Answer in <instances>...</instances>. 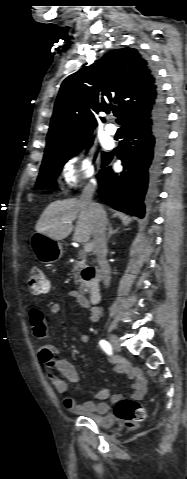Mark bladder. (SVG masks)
<instances>
[{
  "mask_svg": "<svg viewBox=\"0 0 187 479\" xmlns=\"http://www.w3.org/2000/svg\"><path fill=\"white\" fill-rule=\"evenodd\" d=\"M83 417L89 418L94 421L97 425L103 428H110L114 424V420L105 415H98L94 413H83Z\"/></svg>",
  "mask_w": 187,
  "mask_h": 479,
  "instance_id": "bladder-1",
  "label": "bladder"
}]
</instances>
